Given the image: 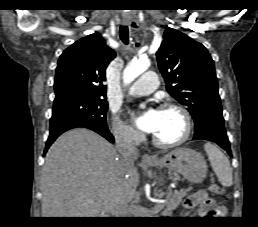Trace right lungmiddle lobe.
<instances>
[{"instance_id":"dd1d6c3e","label":"right lung middle lobe","mask_w":258,"mask_h":227,"mask_svg":"<svg viewBox=\"0 0 258 227\" xmlns=\"http://www.w3.org/2000/svg\"><path fill=\"white\" fill-rule=\"evenodd\" d=\"M106 97L78 92L57 94L54 99L52 118L69 117L93 127L107 128Z\"/></svg>"}]
</instances>
